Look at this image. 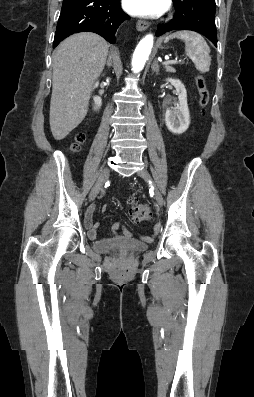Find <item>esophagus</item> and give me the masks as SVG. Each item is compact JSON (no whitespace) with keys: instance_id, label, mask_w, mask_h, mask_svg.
Here are the masks:
<instances>
[{"instance_id":"34e87169","label":"esophagus","mask_w":254,"mask_h":397,"mask_svg":"<svg viewBox=\"0 0 254 397\" xmlns=\"http://www.w3.org/2000/svg\"><path fill=\"white\" fill-rule=\"evenodd\" d=\"M149 26H150V23L147 21H144V20H139L136 25L137 30L140 32L146 31L149 28Z\"/></svg>"}]
</instances>
